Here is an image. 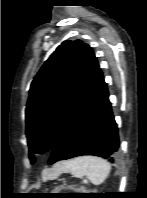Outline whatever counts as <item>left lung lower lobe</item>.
I'll list each match as a JSON object with an SVG mask.
<instances>
[{
	"label": "left lung lower lobe",
	"mask_w": 147,
	"mask_h": 198,
	"mask_svg": "<svg viewBox=\"0 0 147 198\" xmlns=\"http://www.w3.org/2000/svg\"><path fill=\"white\" fill-rule=\"evenodd\" d=\"M118 149V128L99 67L86 98L53 147L49 165L82 155L99 156L113 162Z\"/></svg>",
	"instance_id": "1"
}]
</instances>
